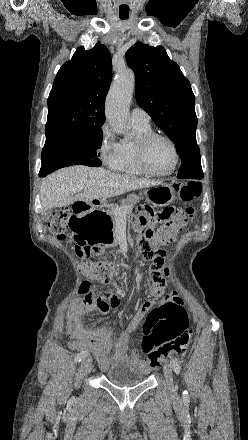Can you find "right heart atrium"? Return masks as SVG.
<instances>
[{
	"mask_svg": "<svg viewBox=\"0 0 248 440\" xmlns=\"http://www.w3.org/2000/svg\"><path fill=\"white\" fill-rule=\"evenodd\" d=\"M97 154L102 163L114 170L120 156V143L116 140L113 131L107 123L101 127V136Z\"/></svg>",
	"mask_w": 248,
	"mask_h": 440,
	"instance_id": "d8ad5b80",
	"label": "right heart atrium"
}]
</instances>
